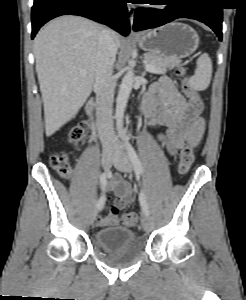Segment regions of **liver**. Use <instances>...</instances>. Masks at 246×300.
<instances>
[{
	"label": "liver",
	"instance_id": "obj_1",
	"mask_svg": "<svg viewBox=\"0 0 246 300\" xmlns=\"http://www.w3.org/2000/svg\"><path fill=\"white\" fill-rule=\"evenodd\" d=\"M101 30L93 21L65 15L51 21L36 35L34 54L47 136L73 119L89 97ZM112 36L117 48L120 47L119 35L112 32Z\"/></svg>",
	"mask_w": 246,
	"mask_h": 300
}]
</instances>
